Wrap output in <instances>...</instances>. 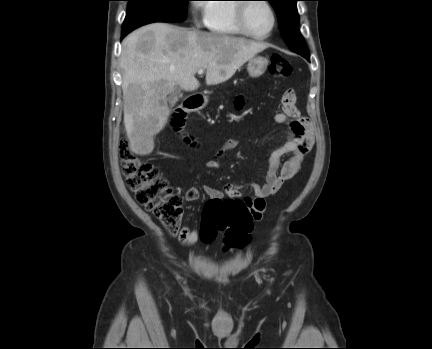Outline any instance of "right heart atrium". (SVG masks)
Masks as SVG:
<instances>
[{"label":"right heart atrium","instance_id":"obj_1","mask_svg":"<svg viewBox=\"0 0 432 349\" xmlns=\"http://www.w3.org/2000/svg\"><path fill=\"white\" fill-rule=\"evenodd\" d=\"M207 4L203 0L199 1H192L191 3V11L193 20L195 23H199L200 19L205 17L206 11H207Z\"/></svg>","mask_w":432,"mask_h":349}]
</instances>
